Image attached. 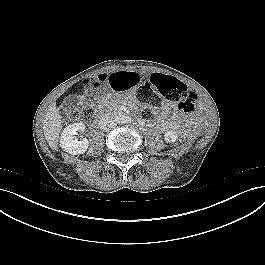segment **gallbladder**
<instances>
[{
  "label": "gallbladder",
  "instance_id": "gallbladder-1",
  "mask_svg": "<svg viewBox=\"0 0 265 265\" xmlns=\"http://www.w3.org/2000/svg\"><path fill=\"white\" fill-rule=\"evenodd\" d=\"M77 100L73 97V96H69L66 100H65V104L69 107V108H73L76 105Z\"/></svg>",
  "mask_w": 265,
  "mask_h": 265
}]
</instances>
